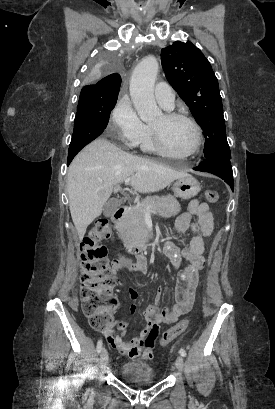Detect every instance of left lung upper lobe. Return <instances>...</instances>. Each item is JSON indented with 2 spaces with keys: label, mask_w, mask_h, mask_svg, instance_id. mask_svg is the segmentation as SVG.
<instances>
[{
  "label": "left lung upper lobe",
  "mask_w": 275,
  "mask_h": 409,
  "mask_svg": "<svg viewBox=\"0 0 275 409\" xmlns=\"http://www.w3.org/2000/svg\"><path fill=\"white\" fill-rule=\"evenodd\" d=\"M162 67L170 85L189 107L205 135V159L230 155L222 98L209 61L191 42L162 49Z\"/></svg>",
  "instance_id": "obj_1"
}]
</instances>
